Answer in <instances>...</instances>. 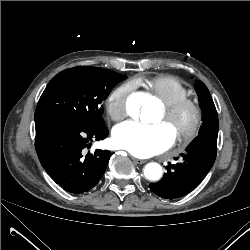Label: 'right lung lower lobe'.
Returning a JSON list of instances; mask_svg holds the SVG:
<instances>
[{
	"label": "right lung lower lobe",
	"instance_id": "obj_1",
	"mask_svg": "<svg viewBox=\"0 0 250 250\" xmlns=\"http://www.w3.org/2000/svg\"><path fill=\"white\" fill-rule=\"evenodd\" d=\"M35 126L38 158L57 184L71 193H81L98 183L112 153L97 149L86 154V148L108 135L106 126L48 118L35 119Z\"/></svg>",
	"mask_w": 250,
	"mask_h": 250
}]
</instances>
